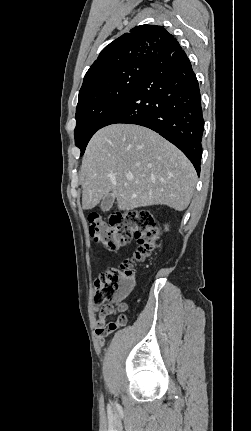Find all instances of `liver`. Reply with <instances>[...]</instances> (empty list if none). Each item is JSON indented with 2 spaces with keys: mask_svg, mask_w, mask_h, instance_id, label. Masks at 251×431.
Masks as SVG:
<instances>
[{
  "mask_svg": "<svg viewBox=\"0 0 251 431\" xmlns=\"http://www.w3.org/2000/svg\"><path fill=\"white\" fill-rule=\"evenodd\" d=\"M80 175L86 210L111 194L123 211L151 205L182 211L189 205L197 181L192 163L174 145L146 127L122 123L95 133Z\"/></svg>",
  "mask_w": 251,
  "mask_h": 431,
  "instance_id": "6515ba94",
  "label": "liver"
}]
</instances>
